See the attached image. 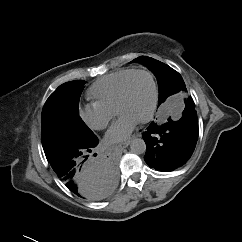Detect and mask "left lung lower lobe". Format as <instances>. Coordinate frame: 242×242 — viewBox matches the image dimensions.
Listing matches in <instances>:
<instances>
[{
	"label": "left lung lower lobe",
	"mask_w": 242,
	"mask_h": 242,
	"mask_svg": "<svg viewBox=\"0 0 242 242\" xmlns=\"http://www.w3.org/2000/svg\"><path fill=\"white\" fill-rule=\"evenodd\" d=\"M198 132L195 104L189 97L185 99V108L179 120L169 118L164 124L152 122L143 133L145 162L162 172L182 167L192 156Z\"/></svg>",
	"instance_id": "1"
}]
</instances>
